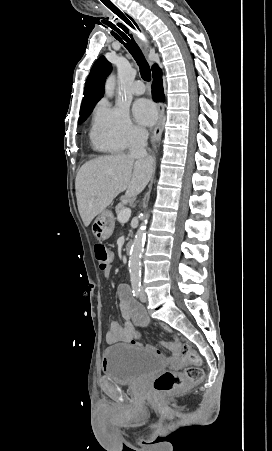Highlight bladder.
Returning a JSON list of instances; mask_svg holds the SVG:
<instances>
[{"mask_svg":"<svg viewBox=\"0 0 272 451\" xmlns=\"http://www.w3.org/2000/svg\"><path fill=\"white\" fill-rule=\"evenodd\" d=\"M104 373L112 376L117 384H134L156 373L163 372V356L145 354L131 345H113L106 347L103 354Z\"/></svg>","mask_w":272,"mask_h":451,"instance_id":"bladder-1","label":"bladder"}]
</instances>
